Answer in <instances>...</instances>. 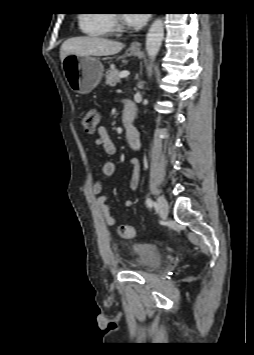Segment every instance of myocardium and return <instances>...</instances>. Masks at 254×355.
Wrapping results in <instances>:
<instances>
[{
  "label": "myocardium",
  "instance_id": "1",
  "mask_svg": "<svg viewBox=\"0 0 254 355\" xmlns=\"http://www.w3.org/2000/svg\"><path fill=\"white\" fill-rule=\"evenodd\" d=\"M116 30L119 32L124 31V27L121 24H118Z\"/></svg>",
  "mask_w": 254,
  "mask_h": 355
}]
</instances>
